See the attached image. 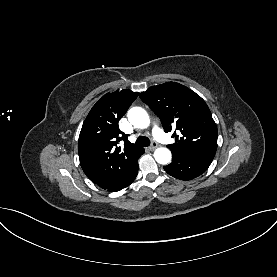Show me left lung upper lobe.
<instances>
[{
  "mask_svg": "<svg viewBox=\"0 0 277 277\" xmlns=\"http://www.w3.org/2000/svg\"><path fill=\"white\" fill-rule=\"evenodd\" d=\"M140 98L160 118L165 132L175 129V143L168 145L172 153L215 155L217 127L198 94L179 83L167 82L148 88Z\"/></svg>",
  "mask_w": 277,
  "mask_h": 277,
  "instance_id": "left-lung-upper-lobe-1",
  "label": "left lung upper lobe"
}]
</instances>
